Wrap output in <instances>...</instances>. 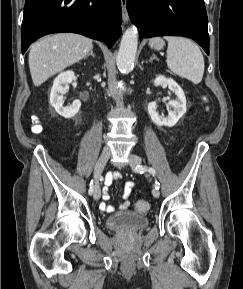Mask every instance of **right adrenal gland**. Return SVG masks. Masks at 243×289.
I'll return each mask as SVG.
<instances>
[{"instance_id":"obj_1","label":"right adrenal gland","mask_w":243,"mask_h":289,"mask_svg":"<svg viewBox=\"0 0 243 289\" xmlns=\"http://www.w3.org/2000/svg\"><path fill=\"white\" fill-rule=\"evenodd\" d=\"M90 55H91L93 58L95 57V55H94V53H93V48L90 50V53L85 56V58H87V57L90 56Z\"/></svg>"}]
</instances>
